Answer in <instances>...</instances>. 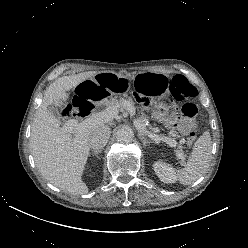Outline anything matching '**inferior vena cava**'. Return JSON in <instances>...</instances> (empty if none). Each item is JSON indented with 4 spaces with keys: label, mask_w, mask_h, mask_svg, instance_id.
I'll use <instances>...</instances> for the list:
<instances>
[{
    "label": "inferior vena cava",
    "mask_w": 248,
    "mask_h": 248,
    "mask_svg": "<svg viewBox=\"0 0 248 248\" xmlns=\"http://www.w3.org/2000/svg\"><path fill=\"white\" fill-rule=\"evenodd\" d=\"M110 128L107 126H102L97 128L89 137V146L94 150L102 149L106 146L110 138Z\"/></svg>",
    "instance_id": "obj_1"
}]
</instances>
